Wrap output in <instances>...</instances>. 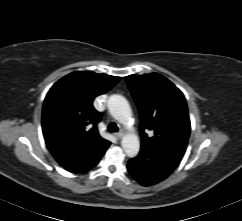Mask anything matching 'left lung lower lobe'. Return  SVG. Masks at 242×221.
I'll return each instance as SVG.
<instances>
[{
	"instance_id": "1",
	"label": "left lung lower lobe",
	"mask_w": 242,
	"mask_h": 221,
	"mask_svg": "<svg viewBox=\"0 0 242 221\" xmlns=\"http://www.w3.org/2000/svg\"><path fill=\"white\" fill-rule=\"evenodd\" d=\"M177 165L163 155L141 148L139 155L129 161L127 169L141 185L150 186L168 177Z\"/></svg>"
}]
</instances>
